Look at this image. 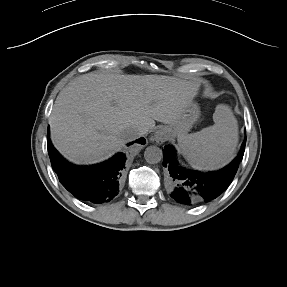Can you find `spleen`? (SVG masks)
Returning <instances> with one entry per match:
<instances>
[{
  "mask_svg": "<svg viewBox=\"0 0 287 287\" xmlns=\"http://www.w3.org/2000/svg\"><path fill=\"white\" fill-rule=\"evenodd\" d=\"M214 125L178 137V145L188 163L201 170H217L235 156L238 124L232 110L218 105L213 114Z\"/></svg>",
  "mask_w": 287,
  "mask_h": 287,
  "instance_id": "1",
  "label": "spleen"
}]
</instances>
